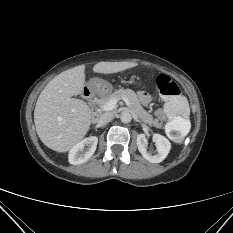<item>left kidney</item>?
<instances>
[{"label":"left kidney","mask_w":233,"mask_h":233,"mask_svg":"<svg viewBox=\"0 0 233 233\" xmlns=\"http://www.w3.org/2000/svg\"><path fill=\"white\" fill-rule=\"evenodd\" d=\"M152 139H153V142H155L156 147H157L156 154L153 155L150 151H147V148H146L147 138L145 134H139L137 136L138 150L142 154V156L149 162L160 163L167 157L171 149V143L166 137L160 134H154Z\"/></svg>","instance_id":"obj_1"}]
</instances>
